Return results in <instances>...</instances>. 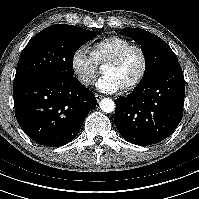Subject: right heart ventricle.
I'll use <instances>...</instances> for the list:
<instances>
[{"mask_svg": "<svg viewBox=\"0 0 199 199\" xmlns=\"http://www.w3.org/2000/svg\"><path fill=\"white\" fill-rule=\"evenodd\" d=\"M132 42L124 37L109 36L95 42L91 48V55L98 67H104L122 49Z\"/></svg>", "mask_w": 199, "mask_h": 199, "instance_id": "1", "label": "right heart ventricle"}]
</instances>
